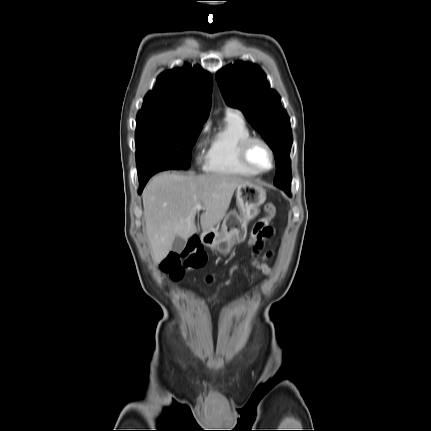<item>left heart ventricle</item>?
I'll return each mask as SVG.
<instances>
[{
  "label": "left heart ventricle",
  "mask_w": 431,
  "mask_h": 431,
  "mask_svg": "<svg viewBox=\"0 0 431 431\" xmlns=\"http://www.w3.org/2000/svg\"><path fill=\"white\" fill-rule=\"evenodd\" d=\"M250 161L260 169H268L271 166V156L261 143H254L249 150Z\"/></svg>",
  "instance_id": "left-heart-ventricle-1"
}]
</instances>
